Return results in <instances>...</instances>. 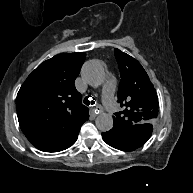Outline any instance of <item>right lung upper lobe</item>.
<instances>
[{
  "label": "right lung upper lobe",
  "instance_id": "obj_1",
  "mask_svg": "<svg viewBox=\"0 0 193 193\" xmlns=\"http://www.w3.org/2000/svg\"><path fill=\"white\" fill-rule=\"evenodd\" d=\"M85 53L60 54L41 63L17 95V115L27 139L39 150L58 152L77 139L88 120L74 81Z\"/></svg>",
  "mask_w": 193,
  "mask_h": 193
}]
</instances>
